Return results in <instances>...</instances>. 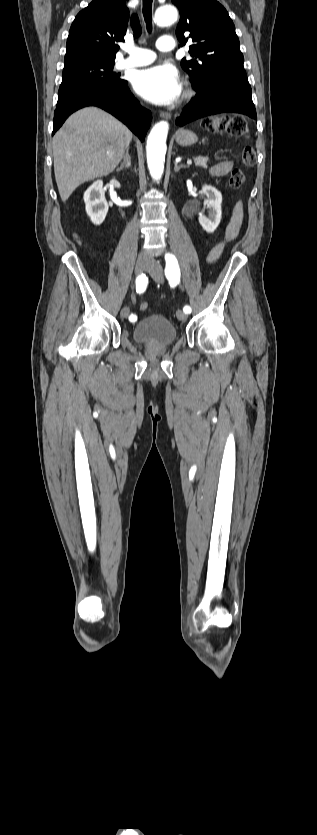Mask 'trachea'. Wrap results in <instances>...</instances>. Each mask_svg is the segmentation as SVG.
I'll use <instances>...</instances> for the list:
<instances>
[{
    "label": "trachea",
    "instance_id": "1",
    "mask_svg": "<svg viewBox=\"0 0 317 835\" xmlns=\"http://www.w3.org/2000/svg\"><path fill=\"white\" fill-rule=\"evenodd\" d=\"M152 2L153 0H143V15L148 32L152 30Z\"/></svg>",
    "mask_w": 317,
    "mask_h": 835
}]
</instances>
